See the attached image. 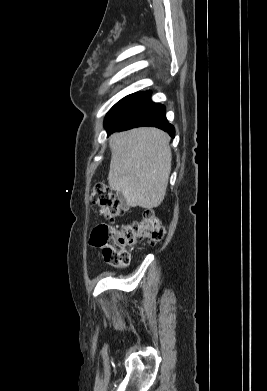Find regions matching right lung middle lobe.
I'll use <instances>...</instances> for the list:
<instances>
[{"mask_svg":"<svg viewBox=\"0 0 267 391\" xmlns=\"http://www.w3.org/2000/svg\"><path fill=\"white\" fill-rule=\"evenodd\" d=\"M137 93L130 94L123 99H121L118 103H116L110 111L107 113L105 117V122L111 119V117L121 108L123 107L133 96H135Z\"/></svg>","mask_w":267,"mask_h":391,"instance_id":"right-lung-middle-lobe-1","label":"right lung middle lobe"}]
</instances>
